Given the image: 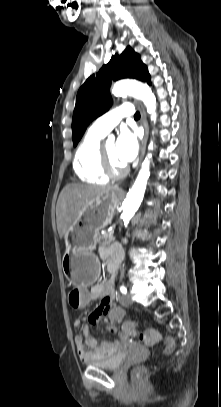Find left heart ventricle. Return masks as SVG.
<instances>
[{
  "label": "left heart ventricle",
  "instance_id": "b2bd125f",
  "mask_svg": "<svg viewBox=\"0 0 221 407\" xmlns=\"http://www.w3.org/2000/svg\"><path fill=\"white\" fill-rule=\"evenodd\" d=\"M106 154L115 168H122L124 165L118 160L116 155V144L110 143L105 146Z\"/></svg>",
  "mask_w": 221,
  "mask_h": 407
}]
</instances>
